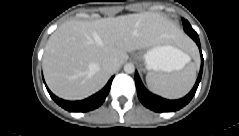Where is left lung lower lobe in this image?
Wrapping results in <instances>:
<instances>
[{"mask_svg": "<svg viewBox=\"0 0 239 136\" xmlns=\"http://www.w3.org/2000/svg\"><path fill=\"white\" fill-rule=\"evenodd\" d=\"M183 27L185 32L196 42V44L200 49L201 54V69L197 81L188 95L178 100H167L160 96L154 95L143 86L138 73L137 72L135 73V82L139 100L144 106L155 112H174L184 107L186 104L190 102V100L195 95L199 82L201 81L203 72V55L201 52L199 37L198 34L193 30V28L186 27L185 25H183Z\"/></svg>", "mask_w": 239, "mask_h": 136, "instance_id": "left-lung-lower-lobe-1", "label": "left lung lower lobe"}]
</instances>
